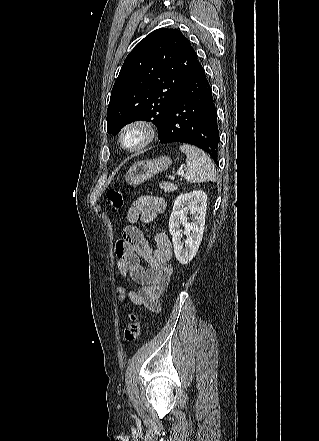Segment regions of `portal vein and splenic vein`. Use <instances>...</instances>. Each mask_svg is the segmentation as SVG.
Wrapping results in <instances>:
<instances>
[{
  "label": "portal vein and splenic vein",
  "instance_id": "portal-vein-and-splenic-vein-1",
  "mask_svg": "<svg viewBox=\"0 0 319 441\" xmlns=\"http://www.w3.org/2000/svg\"><path fill=\"white\" fill-rule=\"evenodd\" d=\"M183 172H184L183 170H179V171L177 172V175H178V176H181V175H183Z\"/></svg>",
  "mask_w": 319,
  "mask_h": 441
}]
</instances>
